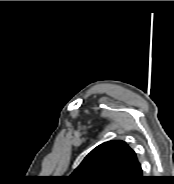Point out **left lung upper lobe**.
Here are the masks:
<instances>
[{
	"label": "left lung upper lobe",
	"mask_w": 174,
	"mask_h": 184,
	"mask_svg": "<svg viewBox=\"0 0 174 184\" xmlns=\"http://www.w3.org/2000/svg\"><path fill=\"white\" fill-rule=\"evenodd\" d=\"M135 152L121 140L94 148L72 173L74 184H128L137 166Z\"/></svg>",
	"instance_id": "left-lung-upper-lobe-1"
}]
</instances>
